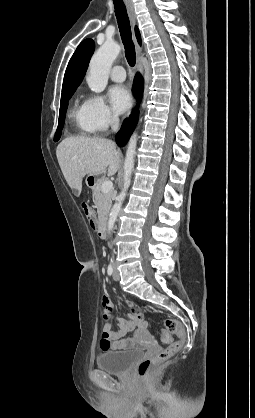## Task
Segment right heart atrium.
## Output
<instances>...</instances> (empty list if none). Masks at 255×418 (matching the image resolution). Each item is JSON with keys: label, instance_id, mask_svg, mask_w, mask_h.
Here are the masks:
<instances>
[{"label": "right heart atrium", "instance_id": "d8ad5b80", "mask_svg": "<svg viewBox=\"0 0 255 418\" xmlns=\"http://www.w3.org/2000/svg\"><path fill=\"white\" fill-rule=\"evenodd\" d=\"M85 114L92 131H104L117 121V116L99 95L89 96L85 102Z\"/></svg>", "mask_w": 255, "mask_h": 418}]
</instances>
